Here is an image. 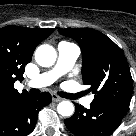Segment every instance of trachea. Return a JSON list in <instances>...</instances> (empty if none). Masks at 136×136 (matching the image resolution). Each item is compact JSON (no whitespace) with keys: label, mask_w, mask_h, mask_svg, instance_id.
Returning <instances> with one entry per match:
<instances>
[{"label":"trachea","mask_w":136,"mask_h":136,"mask_svg":"<svg viewBox=\"0 0 136 136\" xmlns=\"http://www.w3.org/2000/svg\"><path fill=\"white\" fill-rule=\"evenodd\" d=\"M61 97L68 98V99H75L79 97V95H72V94H67V93H59Z\"/></svg>","instance_id":"1"}]
</instances>
